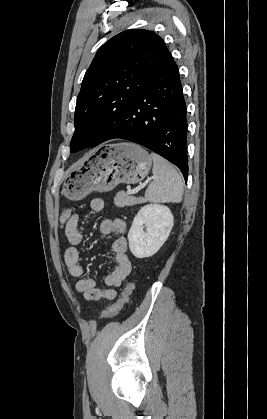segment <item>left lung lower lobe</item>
Wrapping results in <instances>:
<instances>
[{
  "label": "left lung lower lobe",
  "instance_id": "1",
  "mask_svg": "<svg viewBox=\"0 0 267 419\" xmlns=\"http://www.w3.org/2000/svg\"><path fill=\"white\" fill-rule=\"evenodd\" d=\"M187 109L179 70L168 52L126 113L107 121L92 147L121 138L138 143L175 164L188 178Z\"/></svg>",
  "mask_w": 267,
  "mask_h": 419
}]
</instances>
